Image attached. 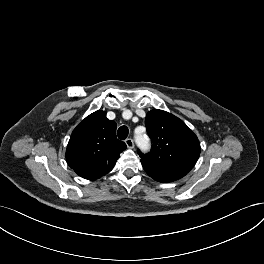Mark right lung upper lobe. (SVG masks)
<instances>
[{"label":"right lung upper lobe","instance_id":"1","mask_svg":"<svg viewBox=\"0 0 264 264\" xmlns=\"http://www.w3.org/2000/svg\"><path fill=\"white\" fill-rule=\"evenodd\" d=\"M116 123L98 110L86 117L72 132L67 150L68 165L81 177L95 180L109 173L126 149L116 137Z\"/></svg>","mask_w":264,"mask_h":264}]
</instances>
